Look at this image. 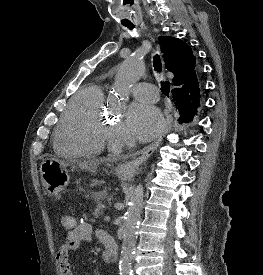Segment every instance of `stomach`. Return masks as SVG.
I'll list each match as a JSON object with an SVG mask.
<instances>
[{
  "instance_id": "1",
  "label": "stomach",
  "mask_w": 263,
  "mask_h": 275,
  "mask_svg": "<svg viewBox=\"0 0 263 275\" xmlns=\"http://www.w3.org/2000/svg\"><path fill=\"white\" fill-rule=\"evenodd\" d=\"M68 164L55 158H46L40 165L41 181L46 191L60 196L70 182Z\"/></svg>"
}]
</instances>
